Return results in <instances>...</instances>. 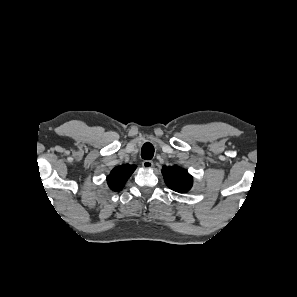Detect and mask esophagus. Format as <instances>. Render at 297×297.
I'll return each instance as SVG.
<instances>
[{"label":"esophagus","instance_id":"esophagus-1","mask_svg":"<svg viewBox=\"0 0 297 297\" xmlns=\"http://www.w3.org/2000/svg\"><path fill=\"white\" fill-rule=\"evenodd\" d=\"M142 166H143L144 168H152V167L154 166V163H153V161H151V160H144V161L142 162Z\"/></svg>","mask_w":297,"mask_h":297}]
</instances>
